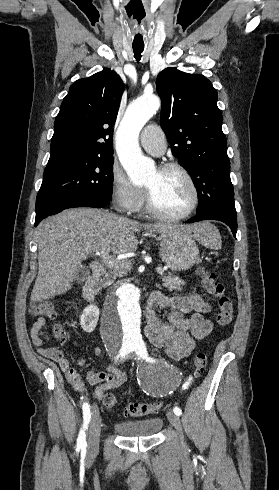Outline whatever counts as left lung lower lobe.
Masks as SVG:
<instances>
[{
	"label": "left lung lower lobe",
	"instance_id": "left-lung-lower-lobe-1",
	"mask_svg": "<svg viewBox=\"0 0 279 490\" xmlns=\"http://www.w3.org/2000/svg\"><path fill=\"white\" fill-rule=\"evenodd\" d=\"M202 220H219L227 224L230 228L231 231L236 237V231H237V215H230L221 211H216V210H211L207 211L201 214H197L195 217L187 220L185 223H193V222H198Z\"/></svg>",
	"mask_w": 279,
	"mask_h": 490
}]
</instances>
